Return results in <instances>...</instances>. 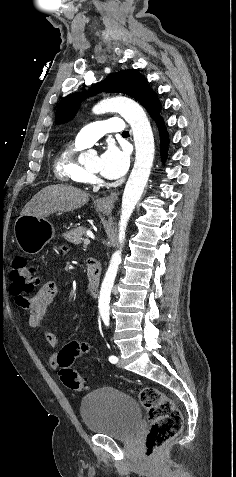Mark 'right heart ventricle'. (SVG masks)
Instances as JSON below:
<instances>
[{"label": "right heart ventricle", "mask_w": 236, "mask_h": 477, "mask_svg": "<svg viewBox=\"0 0 236 477\" xmlns=\"http://www.w3.org/2000/svg\"><path fill=\"white\" fill-rule=\"evenodd\" d=\"M84 148L86 146L75 141L67 146L58 156L55 162V173L60 180L71 184H87L91 182V177L88 175L85 167L77 160L78 153Z\"/></svg>", "instance_id": "obj_1"}]
</instances>
